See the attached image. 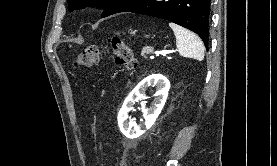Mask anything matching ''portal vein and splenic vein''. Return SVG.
Returning <instances> with one entry per match:
<instances>
[{
  "label": "portal vein and splenic vein",
  "instance_id": "1",
  "mask_svg": "<svg viewBox=\"0 0 277 166\" xmlns=\"http://www.w3.org/2000/svg\"><path fill=\"white\" fill-rule=\"evenodd\" d=\"M150 58H154V56H150Z\"/></svg>",
  "mask_w": 277,
  "mask_h": 166
}]
</instances>
